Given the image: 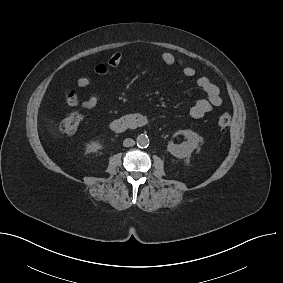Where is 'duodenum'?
<instances>
[{
  "label": "duodenum",
  "mask_w": 283,
  "mask_h": 283,
  "mask_svg": "<svg viewBox=\"0 0 283 283\" xmlns=\"http://www.w3.org/2000/svg\"><path fill=\"white\" fill-rule=\"evenodd\" d=\"M146 123L147 120L143 115L129 114L113 120L110 123V128L116 133H121L126 130L143 127Z\"/></svg>",
  "instance_id": "410a0bca"
}]
</instances>
